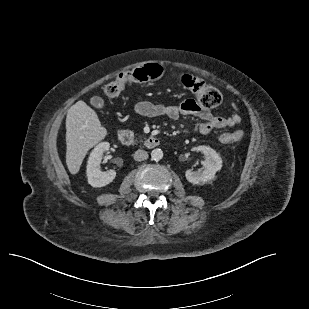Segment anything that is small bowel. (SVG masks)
<instances>
[{
    "label": "small bowel",
    "instance_id": "obj_1",
    "mask_svg": "<svg viewBox=\"0 0 309 309\" xmlns=\"http://www.w3.org/2000/svg\"><path fill=\"white\" fill-rule=\"evenodd\" d=\"M235 110L228 117L216 116L203 108L194 99H187L178 105H164L151 100H141L135 105V113L145 117H168L177 120L181 116H195L202 120L199 125L201 134L207 135L216 129L233 127L241 122L238 107L232 103Z\"/></svg>",
    "mask_w": 309,
    "mask_h": 309
}]
</instances>
